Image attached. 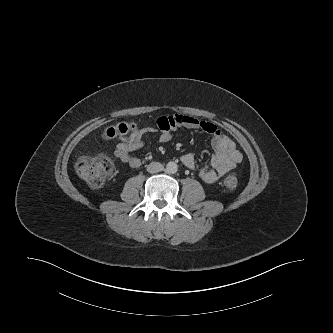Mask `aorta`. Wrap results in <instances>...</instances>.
Here are the masks:
<instances>
[{
	"instance_id": "aorta-1",
	"label": "aorta",
	"mask_w": 333,
	"mask_h": 333,
	"mask_svg": "<svg viewBox=\"0 0 333 333\" xmlns=\"http://www.w3.org/2000/svg\"><path fill=\"white\" fill-rule=\"evenodd\" d=\"M178 170V166L175 162H168L166 165V172L169 174H174Z\"/></svg>"
}]
</instances>
